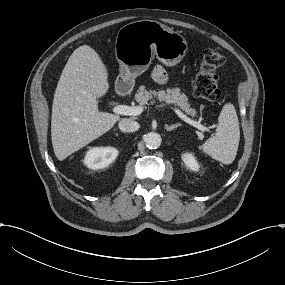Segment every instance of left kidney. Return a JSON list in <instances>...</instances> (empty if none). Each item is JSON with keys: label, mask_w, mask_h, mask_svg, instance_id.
<instances>
[{"label": "left kidney", "mask_w": 285, "mask_h": 285, "mask_svg": "<svg viewBox=\"0 0 285 285\" xmlns=\"http://www.w3.org/2000/svg\"><path fill=\"white\" fill-rule=\"evenodd\" d=\"M181 158L183 160V162L185 163V165L193 170V171H199V164L197 162V160L195 159L194 155L191 153H184L181 155Z\"/></svg>", "instance_id": "left-kidney-1"}]
</instances>
